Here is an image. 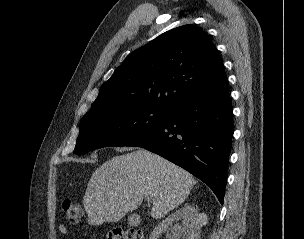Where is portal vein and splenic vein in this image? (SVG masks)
<instances>
[{"label":"portal vein and splenic vein","instance_id":"18ae733b","mask_svg":"<svg viewBox=\"0 0 304 239\" xmlns=\"http://www.w3.org/2000/svg\"><path fill=\"white\" fill-rule=\"evenodd\" d=\"M146 200L150 201V199H149V198H146Z\"/></svg>","mask_w":304,"mask_h":239}]
</instances>
